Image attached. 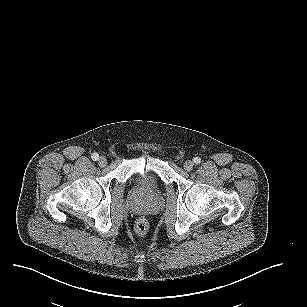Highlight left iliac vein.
Masks as SVG:
<instances>
[{
	"label": "left iliac vein",
	"mask_w": 307,
	"mask_h": 307,
	"mask_svg": "<svg viewBox=\"0 0 307 307\" xmlns=\"http://www.w3.org/2000/svg\"><path fill=\"white\" fill-rule=\"evenodd\" d=\"M193 162L188 160V161H185L184 164H183V168L185 169V171L187 172H190L192 169H193Z\"/></svg>",
	"instance_id": "4c4485c4"
}]
</instances>
